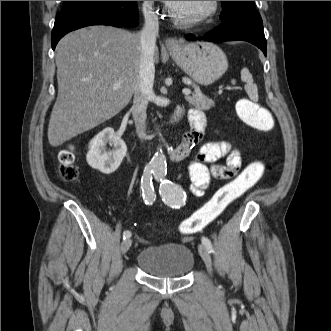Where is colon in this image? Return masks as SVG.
Masks as SVG:
<instances>
[{"label": "colon", "mask_w": 331, "mask_h": 331, "mask_svg": "<svg viewBox=\"0 0 331 331\" xmlns=\"http://www.w3.org/2000/svg\"><path fill=\"white\" fill-rule=\"evenodd\" d=\"M237 113L248 126L259 131H271L274 119L270 111L249 99H241L237 103ZM60 174L66 181H75L78 169L74 163V154L66 149L59 154ZM264 175V165L253 162L245 167L237 176L223 185L213 197L199 208L180 226L184 235H191L215 221L235 200L253 188Z\"/></svg>", "instance_id": "1"}]
</instances>
